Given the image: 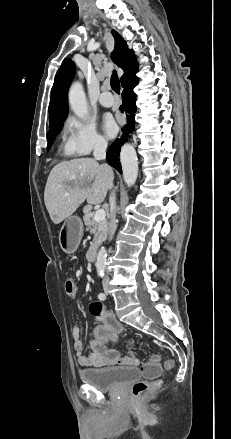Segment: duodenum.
Listing matches in <instances>:
<instances>
[{"instance_id": "duodenum-1", "label": "duodenum", "mask_w": 231, "mask_h": 439, "mask_svg": "<svg viewBox=\"0 0 231 439\" xmlns=\"http://www.w3.org/2000/svg\"><path fill=\"white\" fill-rule=\"evenodd\" d=\"M96 258H97V248L95 246H91L86 253V259L89 262H95Z\"/></svg>"}]
</instances>
